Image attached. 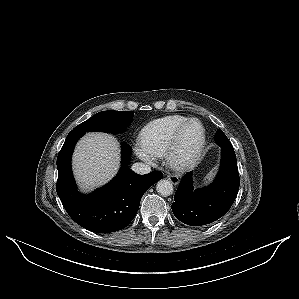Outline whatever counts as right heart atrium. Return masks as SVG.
Returning a JSON list of instances; mask_svg holds the SVG:
<instances>
[{
  "instance_id": "1",
  "label": "right heart atrium",
  "mask_w": 299,
  "mask_h": 299,
  "mask_svg": "<svg viewBox=\"0 0 299 299\" xmlns=\"http://www.w3.org/2000/svg\"><path fill=\"white\" fill-rule=\"evenodd\" d=\"M134 151L136 155L145 162L154 163L156 157L146 148L143 142H137Z\"/></svg>"
}]
</instances>
